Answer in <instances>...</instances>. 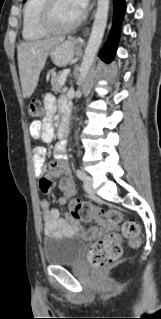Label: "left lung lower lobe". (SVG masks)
<instances>
[{"mask_svg":"<svg viewBox=\"0 0 161 319\" xmlns=\"http://www.w3.org/2000/svg\"><path fill=\"white\" fill-rule=\"evenodd\" d=\"M114 15H113V25L110 31L107 42L101 49L100 56L105 62H110L113 60L117 43L120 36L121 22L126 10L125 0H113Z\"/></svg>","mask_w":161,"mask_h":319,"instance_id":"0a47b994","label":"left lung lower lobe"}]
</instances>
